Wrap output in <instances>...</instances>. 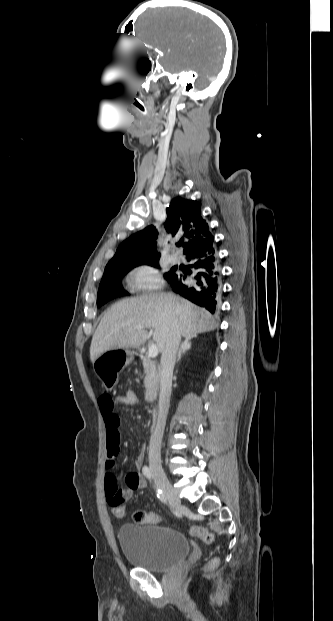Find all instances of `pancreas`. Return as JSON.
Returning a JSON list of instances; mask_svg holds the SVG:
<instances>
[{
    "mask_svg": "<svg viewBox=\"0 0 333 621\" xmlns=\"http://www.w3.org/2000/svg\"><path fill=\"white\" fill-rule=\"evenodd\" d=\"M144 367V386L146 389L145 400L147 402H153L156 399L158 386H159V372L156 365L149 358L143 359Z\"/></svg>",
    "mask_w": 333,
    "mask_h": 621,
    "instance_id": "cf45deb5",
    "label": "pancreas"
}]
</instances>
